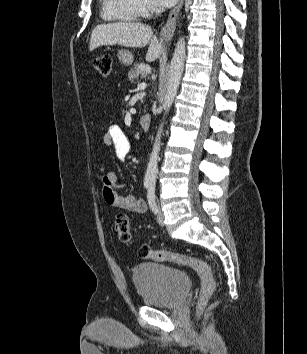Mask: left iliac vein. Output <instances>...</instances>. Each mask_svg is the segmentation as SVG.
I'll return each instance as SVG.
<instances>
[{
	"instance_id": "1",
	"label": "left iliac vein",
	"mask_w": 307,
	"mask_h": 354,
	"mask_svg": "<svg viewBox=\"0 0 307 354\" xmlns=\"http://www.w3.org/2000/svg\"><path fill=\"white\" fill-rule=\"evenodd\" d=\"M157 221L161 226L164 225V216H163V213L159 207H158V211H157Z\"/></svg>"
}]
</instances>
